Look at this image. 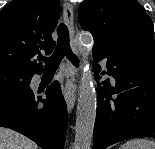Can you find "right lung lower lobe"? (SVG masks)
Listing matches in <instances>:
<instances>
[{
    "instance_id": "98d812e1",
    "label": "right lung lower lobe",
    "mask_w": 155,
    "mask_h": 149,
    "mask_svg": "<svg viewBox=\"0 0 155 149\" xmlns=\"http://www.w3.org/2000/svg\"><path fill=\"white\" fill-rule=\"evenodd\" d=\"M40 99L28 94L20 97H0V127L11 128L34 142L42 149H63L67 129V107L57 81ZM39 102L44 104L37 108Z\"/></svg>"
}]
</instances>
